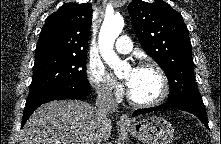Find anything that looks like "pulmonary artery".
Returning <instances> with one entry per match:
<instances>
[{"mask_svg": "<svg viewBox=\"0 0 221 144\" xmlns=\"http://www.w3.org/2000/svg\"><path fill=\"white\" fill-rule=\"evenodd\" d=\"M132 47L131 39L127 35L120 36L115 43L116 50L122 54L129 53Z\"/></svg>", "mask_w": 221, "mask_h": 144, "instance_id": "1", "label": "pulmonary artery"}]
</instances>
